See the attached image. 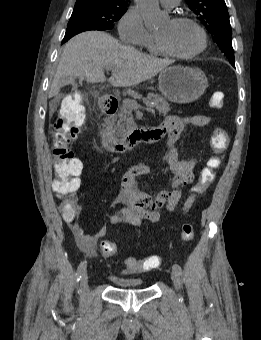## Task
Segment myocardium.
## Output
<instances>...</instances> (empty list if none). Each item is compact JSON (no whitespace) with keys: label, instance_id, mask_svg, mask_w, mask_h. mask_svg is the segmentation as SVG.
<instances>
[{"label":"myocardium","instance_id":"f54148a6","mask_svg":"<svg viewBox=\"0 0 261 340\" xmlns=\"http://www.w3.org/2000/svg\"><path fill=\"white\" fill-rule=\"evenodd\" d=\"M172 22L192 24L198 30V32L200 33L201 45L199 46V48L197 50H195L191 53L182 54V53H178V52L173 51L166 44V42L163 39L156 36L159 47L163 51L164 54L175 57V58H179V59L190 60V59H193V58L199 56L200 54H202L206 50L207 45H208L207 33H206L204 27L200 24V22L198 20H196L192 17H189V16H179V17L173 18Z\"/></svg>","mask_w":261,"mask_h":340}]
</instances>
